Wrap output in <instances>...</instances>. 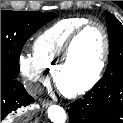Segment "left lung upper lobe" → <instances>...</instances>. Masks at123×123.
I'll use <instances>...</instances> for the list:
<instances>
[{
  "label": "left lung upper lobe",
  "mask_w": 123,
  "mask_h": 123,
  "mask_svg": "<svg viewBox=\"0 0 123 123\" xmlns=\"http://www.w3.org/2000/svg\"><path fill=\"white\" fill-rule=\"evenodd\" d=\"M109 35V57L107 69L98 84L112 85L123 78V25L105 11Z\"/></svg>",
  "instance_id": "1"
}]
</instances>
